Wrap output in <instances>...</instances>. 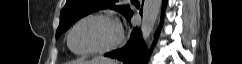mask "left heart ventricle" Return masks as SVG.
Masks as SVG:
<instances>
[{"label":"left heart ventricle","instance_id":"obj_1","mask_svg":"<svg viewBox=\"0 0 242 64\" xmlns=\"http://www.w3.org/2000/svg\"><path fill=\"white\" fill-rule=\"evenodd\" d=\"M117 36L116 27L103 19H90L81 23L74 31L71 45L75 51H85L105 46Z\"/></svg>","mask_w":242,"mask_h":64}]
</instances>
